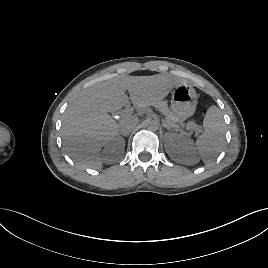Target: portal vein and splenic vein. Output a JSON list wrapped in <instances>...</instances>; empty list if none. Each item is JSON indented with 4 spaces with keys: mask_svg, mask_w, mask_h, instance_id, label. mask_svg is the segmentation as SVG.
Instances as JSON below:
<instances>
[{
    "mask_svg": "<svg viewBox=\"0 0 268 268\" xmlns=\"http://www.w3.org/2000/svg\"><path fill=\"white\" fill-rule=\"evenodd\" d=\"M130 113H131L130 110H124L123 111V114H130ZM187 128H193V129H195L198 132L200 131L199 126L197 124H194V123L187 124Z\"/></svg>",
    "mask_w": 268,
    "mask_h": 268,
    "instance_id": "1",
    "label": "portal vein and splenic vein"
}]
</instances>
